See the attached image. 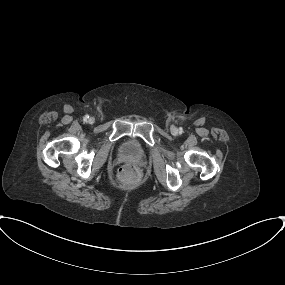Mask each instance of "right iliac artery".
Wrapping results in <instances>:
<instances>
[{"label": "right iliac artery", "mask_w": 285, "mask_h": 285, "mask_svg": "<svg viewBox=\"0 0 285 285\" xmlns=\"http://www.w3.org/2000/svg\"><path fill=\"white\" fill-rule=\"evenodd\" d=\"M88 118H89L88 115H85V116H84V120H85V121H87Z\"/></svg>", "instance_id": "82829eb1"}]
</instances>
